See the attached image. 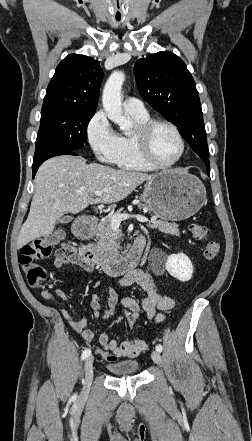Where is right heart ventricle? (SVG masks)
<instances>
[{"label": "right heart ventricle", "mask_w": 252, "mask_h": 441, "mask_svg": "<svg viewBox=\"0 0 252 441\" xmlns=\"http://www.w3.org/2000/svg\"><path fill=\"white\" fill-rule=\"evenodd\" d=\"M131 116L138 126L150 120L148 114L145 116ZM116 164L118 167L129 171L148 172L153 170V168H151L141 159L134 140V134L120 135V150L117 156Z\"/></svg>", "instance_id": "right-heart-ventricle-1"}]
</instances>
